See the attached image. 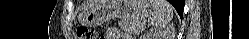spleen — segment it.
Returning a JSON list of instances; mask_svg holds the SVG:
<instances>
[{
  "mask_svg": "<svg viewBox=\"0 0 249 39\" xmlns=\"http://www.w3.org/2000/svg\"><path fill=\"white\" fill-rule=\"evenodd\" d=\"M154 12L149 20L156 28H162L173 18V7L166 0H150Z\"/></svg>",
  "mask_w": 249,
  "mask_h": 39,
  "instance_id": "1",
  "label": "spleen"
}]
</instances>
